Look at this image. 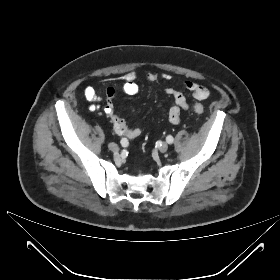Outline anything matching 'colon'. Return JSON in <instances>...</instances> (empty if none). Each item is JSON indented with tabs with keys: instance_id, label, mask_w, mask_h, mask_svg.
<instances>
[{
	"instance_id": "5ec220e1",
	"label": "colon",
	"mask_w": 280,
	"mask_h": 280,
	"mask_svg": "<svg viewBox=\"0 0 280 280\" xmlns=\"http://www.w3.org/2000/svg\"><path fill=\"white\" fill-rule=\"evenodd\" d=\"M193 110L195 113L200 114L204 111V107L200 104H196L194 105Z\"/></svg>"
}]
</instances>
